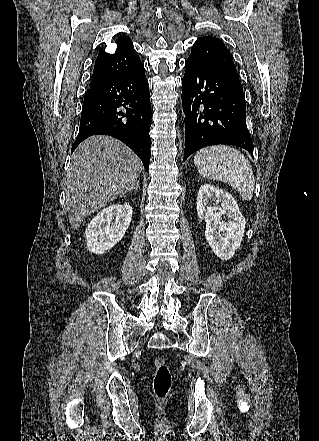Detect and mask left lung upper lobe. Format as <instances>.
Returning <instances> with one entry per match:
<instances>
[{
    "label": "left lung upper lobe",
    "mask_w": 319,
    "mask_h": 441,
    "mask_svg": "<svg viewBox=\"0 0 319 441\" xmlns=\"http://www.w3.org/2000/svg\"><path fill=\"white\" fill-rule=\"evenodd\" d=\"M189 58L224 73L241 84L233 56L220 39L212 36L198 38L192 46Z\"/></svg>",
    "instance_id": "left-lung-upper-lobe-1"
}]
</instances>
